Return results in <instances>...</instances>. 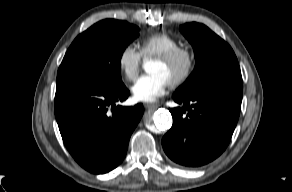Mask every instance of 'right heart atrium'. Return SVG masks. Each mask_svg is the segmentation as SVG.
Listing matches in <instances>:
<instances>
[{
	"mask_svg": "<svg viewBox=\"0 0 292 192\" xmlns=\"http://www.w3.org/2000/svg\"><path fill=\"white\" fill-rule=\"evenodd\" d=\"M117 63L125 79L132 81L137 76L141 63V54L132 44H127L120 50Z\"/></svg>",
	"mask_w": 292,
	"mask_h": 192,
	"instance_id": "obj_1",
	"label": "right heart atrium"
}]
</instances>
